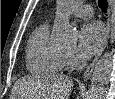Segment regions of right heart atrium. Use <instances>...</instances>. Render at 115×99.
Segmentation results:
<instances>
[{"label": "right heart atrium", "instance_id": "right-heart-atrium-1", "mask_svg": "<svg viewBox=\"0 0 115 99\" xmlns=\"http://www.w3.org/2000/svg\"><path fill=\"white\" fill-rule=\"evenodd\" d=\"M73 62H74L73 55L70 53L65 54V63L71 65Z\"/></svg>", "mask_w": 115, "mask_h": 99}]
</instances>
